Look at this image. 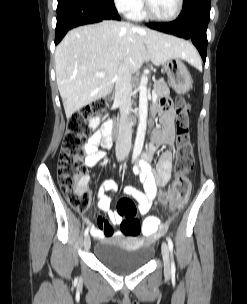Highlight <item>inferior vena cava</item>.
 Instances as JSON below:
<instances>
[{"instance_id":"obj_1","label":"inferior vena cava","mask_w":247,"mask_h":304,"mask_svg":"<svg viewBox=\"0 0 247 304\" xmlns=\"http://www.w3.org/2000/svg\"><path fill=\"white\" fill-rule=\"evenodd\" d=\"M115 81V100L118 102L120 109L116 157L121 161L125 159L130 152L132 138V129L128 123V115L131 111V72L126 64H122L119 67Z\"/></svg>"}]
</instances>
